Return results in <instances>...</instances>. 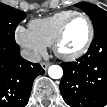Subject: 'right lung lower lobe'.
Masks as SVG:
<instances>
[{"label": "right lung lower lobe", "instance_id": "98d812e1", "mask_svg": "<svg viewBox=\"0 0 107 107\" xmlns=\"http://www.w3.org/2000/svg\"><path fill=\"white\" fill-rule=\"evenodd\" d=\"M43 68L20 56L15 43L0 41V107H25L34 79Z\"/></svg>", "mask_w": 107, "mask_h": 107}]
</instances>
